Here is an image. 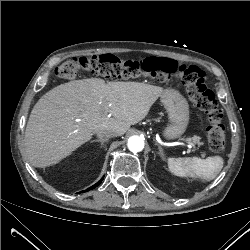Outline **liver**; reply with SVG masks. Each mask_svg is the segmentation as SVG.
I'll list each match as a JSON object with an SVG mask.
<instances>
[{"instance_id":"6515ba94","label":"liver","mask_w":250,"mask_h":250,"mask_svg":"<svg viewBox=\"0 0 250 250\" xmlns=\"http://www.w3.org/2000/svg\"><path fill=\"white\" fill-rule=\"evenodd\" d=\"M163 89L138 82L89 78L61 84L33 107L25 131L31 164L44 168L58 163L99 130L125 134L143 120Z\"/></svg>"}]
</instances>
